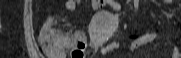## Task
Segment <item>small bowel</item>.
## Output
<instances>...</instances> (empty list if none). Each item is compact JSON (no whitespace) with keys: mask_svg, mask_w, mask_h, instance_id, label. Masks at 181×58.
<instances>
[{"mask_svg":"<svg viewBox=\"0 0 181 58\" xmlns=\"http://www.w3.org/2000/svg\"><path fill=\"white\" fill-rule=\"evenodd\" d=\"M83 3L82 0H67L64 3V7L66 10L68 11H74L76 8H78L81 4ZM105 3V1H97V0H92V5L94 8H99L100 6H102ZM111 6L114 10H119L120 6L118 3L113 2L111 3ZM73 37H77V38H83L85 39V36L83 33L81 32H77L73 35ZM156 38V34L155 33H150L138 40L135 41V43L133 44V47H139L143 44H146L148 42L153 41ZM119 46V44L117 42H113L107 46H103L100 49L101 54L105 55L115 49H117ZM173 58H181V53L178 51L177 48L174 49V53H173Z\"/></svg>","mask_w":181,"mask_h":58,"instance_id":"obj_1","label":"small bowel"}]
</instances>
